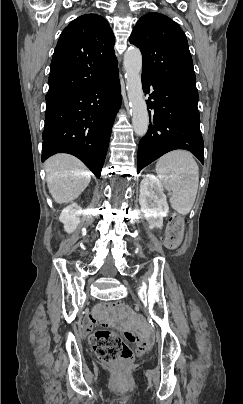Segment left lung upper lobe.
<instances>
[{
	"label": "left lung upper lobe",
	"mask_w": 243,
	"mask_h": 404,
	"mask_svg": "<svg viewBox=\"0 0 243 404\" xmlns=\"http://www.w3.org/2000/svg\"><path fill=\"white\" fill-rule=\"evenodd\" d=\"M142 53V75L196 87L187 38L179 25L159 13L142 16L130 36Z\"/></svg>",
	"instance_id": "obj_1"
}]
</instances>
